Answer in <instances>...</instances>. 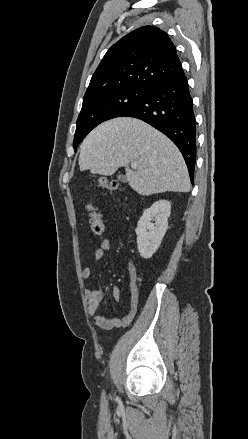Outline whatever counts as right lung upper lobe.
<instances>
[{
    "instance_id": "right-lung-upper-lobe-1",
    "label": "right lung upper lobe",
    "mask_w": 248,
    "mask_h": 439,
    "mask_svg": "<svg viewBox=\"0 0 248 439\" xmlns=\"http://www.w3.org/2000/svg\"><path fill=\"white\" fill-rule=\"evenodd\" d=\"M182 70L167 33L153 26H143L107 51L91 78L83 103L120 89L149 91Z\"/></svg>"
}]
</instances>
